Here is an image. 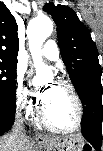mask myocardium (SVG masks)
Returning <instances> with one entry per match:
<instances>
[{
    "label": "myocardium",
    "mask_w": 103,
    "mask_h": 151,
    "mask_svg": "<svg viewBox=\"0 0 103 151\" xmlns=\"http://www.w3.org/2000/svg\"><path fill=\"white\" fill-rule=\"evenodd\" d=\"M55 85L65 88L70 93V95L74 101L75 108H76V122L73 126L68 127V128L58 127V126L54 125L47 118V116L44 112V107H41V109L39 111L40 121L46 128H48L49 130L54 131V132H59V133L75 132L81 128L83 121H84V109H83V104L80 99V96L77 93V91L75 90L74 86L65 80H58L55 83Z\"/></svg>",
    "instance_id": "f54148a6"
}]
</instances>
